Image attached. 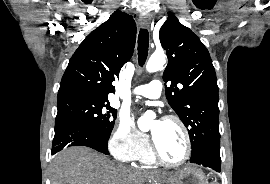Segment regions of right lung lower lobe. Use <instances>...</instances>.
<instances>
[{
    "mask_svg": "<svg viewBox=\"0 0 270 184\" xmlns=\"http://www.w3.org/2000/svg\"><path fill=\"white\" fill-rule=\"evenodd\" d=\"M107 141L108 139L81 125H55L52 155L70 146H87L108 155Z\"/></svg>",
    "mask_w": 270,
    "mask_h": 184,
    "instance_id": "obj_1",
    "label": "right lung lower lobe"
}]
</instances>
